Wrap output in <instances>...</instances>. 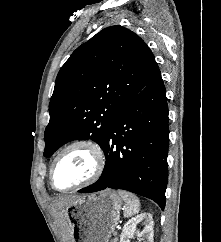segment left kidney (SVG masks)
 I'll use <instances>...</instances> for the list:
<instances>
[{
  "label": "left kidney",
  "mask_w": 221,
  "mask_h": 242,
  "mask_svg": "<svg viewBox=\"0 0 221 242\" xmlns=\"http://www.w3.org/2000/svg\"><path fill=\"white\" fill-rule=\"evenodd\" d=\"M139 223H143L145 226L142 231H138L136 229ZM153 225V217L150 213H142L129 219L123 227L120 235V242H130L129 238H131L134 234H136L140 240L146 239L144 242H153Z\"/></svg>",
  "instance_id": "obj_1"
}]
</instances>
